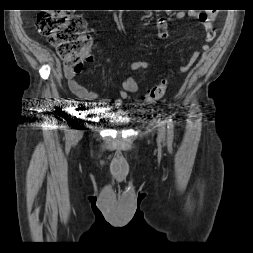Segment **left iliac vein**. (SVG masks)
I'll return each mask as SVG.
<instances>
[{"mask_svg": "<svg viewBox=\"0 0 253 253\" xmlns=\"http://www.w3.org/2000/svg\"><path fill=\"white\" fill-rule=\"evenodd\" d=\"M165 138V128L163 125H160L158 128V139L163 141Z\"/></svg>", "mask_w": 253, "mask_h": 253, "instance_id": "4c4485c4", "label": "left iliac vein"}]
</instances>
